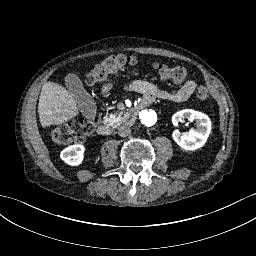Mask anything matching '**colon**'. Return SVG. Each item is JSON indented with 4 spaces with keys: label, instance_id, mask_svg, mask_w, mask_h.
<instances>
[{
    "label": "colon",
    "instance_id": "obj_1",
    "mask_svg": "<svg viewBox=\"0 0 256 256\" xmlns=\"http://www.w3.org/2000/svg\"><path fill=\"white\" fill-rule=\"evenodd\" d=\"M137 60L133 56L113 55L103 58L95 64L86 76L89 85L105 82L111 75L119 71L135 67ZM159 75L164 79L182 81L189 77V73L183 67H169L159 64L155 67ZM196 97L202 101H209L211 94L203 87H197ZM95 123L90 119L73 121L67 125L53 127L50 130L51 138L63 144L83 142L94 130Z\"/></svg>",
    "mask_w": 256,
    "mask_h": 256
}]
</instances>
